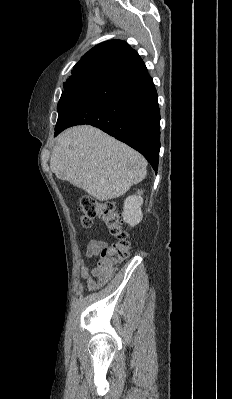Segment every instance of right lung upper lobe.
Segmentation results:
<instances>
[{"label":"right lung upper lobe","mask_w":232,"mask_h":399,"mask_svg":"<svg viewBox=\"0 0 232 399\" xmlns=\"http://www.w3.org/2000/svg\"><path fill=\"white\" fill-rule=\"evenodd\" d=\"M143 62L135 50L121 40H109L90 49L74 66L66 82L94 78L105 80Z\"/></svg>","instance_id":"obj_1"}]
</instances>
